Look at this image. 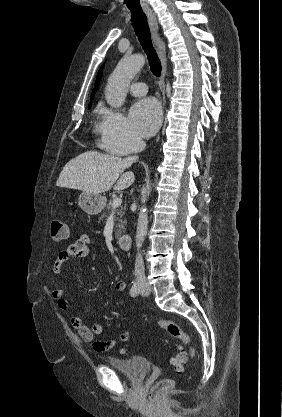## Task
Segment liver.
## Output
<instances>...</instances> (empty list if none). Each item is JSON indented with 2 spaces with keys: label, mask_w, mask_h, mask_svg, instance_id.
I'll use <instances>...</instances> for the list:
<instances>
[{
  "label": "liver",
  "mask_w": 282,
  "mask_h": 417,
  "mask_svg": "<svg viewBox=\"0 0 282 417\" xmlns=\"http://www.w3.org/2000/svg\"><path fill=\"white\" fill-rule=\"evenodd\" d=\"M130 164L128 158H120L114 154H102L96 150H86L65 164L59 174L57 186L78 188V190L99 194V192L110 190L118 178L113 188L114 190H123L133 184L135 180L133 172L122 174Z\"/></svg>",
  "instance_id": "obj_1"
}]
</instances>
